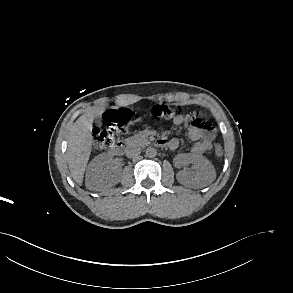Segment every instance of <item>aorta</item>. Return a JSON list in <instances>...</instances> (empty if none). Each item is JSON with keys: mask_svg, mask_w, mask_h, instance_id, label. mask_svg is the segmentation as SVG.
<instances>
[{"mask_svg": "<svg viewBox=\"0 0 293 293\" xmlns=\"http://www.w3.org/2000/svg\"><path fill=\"white\" fill-rule=\"evenodd\" d=\"M157 155V150L154 147H148L146 149V156L149 158H154Z\"/></svg>", "mask_w": 293, "mask_h": 293, "instance_id": "1", "label": "aorta"}]
</instances>
